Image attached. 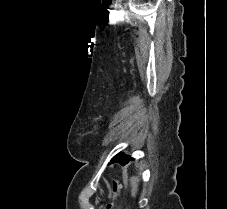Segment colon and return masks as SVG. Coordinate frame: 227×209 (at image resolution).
Here are the masks:
<instances>
[{
    "label": "colon",
    "instance_id": "5ec220e1",
    "mask_svg": "<svg viewBox=\"0 0 227 209\" xmlns=\"http://www.w3.org/2000/svg\"><path fill=\"white\" fill-rule=\"evenodd\" d=\"M121 185L117 180L111 182L110 201L105 206V209H116L117 199L119 197Z\"/></svg>",
    "mask_w": 227,
    "mask_h": 209
}]
</instances>
